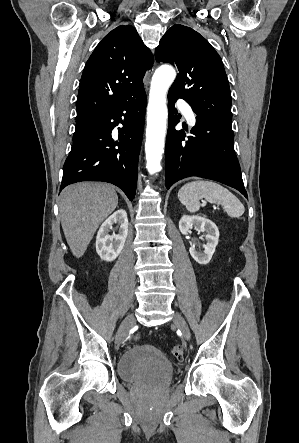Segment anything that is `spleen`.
Returning <instances> with one entry per match:
<instances>
[{
  "label": "spleen",
  "instance_id": "3e777b00",
  "mask_svg": "<svg viewBox=\"0 0 299 443\" xmlns=\"http://www.w3.org/2000/svg\"><path fill=\"white\" fill-rule=\"evenodd\" d=\"M178 199L193 213L200 209L201 199L222 205L232 218H238L245 212L244 205L234 194L212 181L198 180L185 184L178 192Z\"/></svg>",
  "mask_w": 299,
  "mask_h": 443
}]
</instances>
